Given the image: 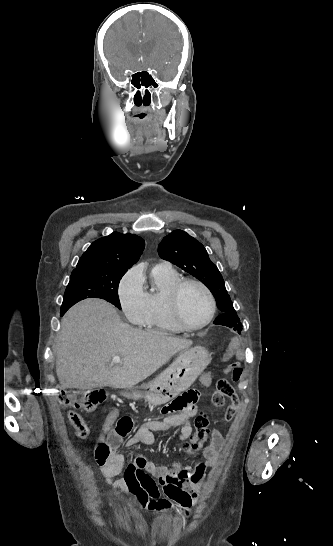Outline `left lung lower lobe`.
<instances>
[{"label":"left lung lower lobe","instance_id":"0a47b994","mask_svg":"<svg viewBox=\"0 0 333 546\" xmlns=\"http://www.w3.org/2000/svg\"><path fill=\"white\" fill-rule=\"evenodd\" d=\"M214 324L224 325V326H227V327H230V328L233 327L238 332L242 331V325L240 323L239 318L231 317L230 315L222 314V315L218 316L215 319Z\"/></svg>","mask_w":333,"mask_h":546}]
</instances>
